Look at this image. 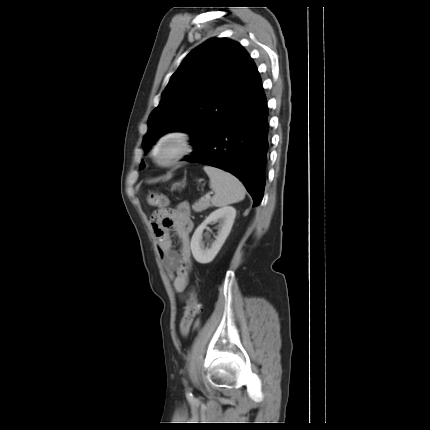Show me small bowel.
Wrapping results in <instances>:
<instances>
[{"instance_id": "small-bowel-1", "label": "small bowel", "mask_w": 430, "mask_h": 430, "mask_svg": "<svg viewBox=\"0 0 430 430\" xmlns=\"http://www.w3.org/2000/svg\"><path fill=\"white\" fill-rule=\"evenodd\" d=\"M151 226L158 242L159 255L168 279L178 294H183L189 284L192 268L190 233L193 222L190 217L189 204L179 203L175 208L152 215ZM177 237L179 248H173L170 234ZM181 331V324H180Z\"/></svg>"}]
</instances>
